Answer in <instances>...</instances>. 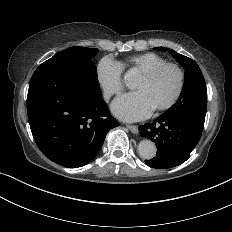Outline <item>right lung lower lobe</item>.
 <instances>
[{"mask_svg":"<svg viewBox=\"0 0 232 232\" xmlns=\"http://www.w3.org/2000/svg\"><path fill=\"white\" fill-rule=\"evenodd\" d=\"M90 63L50 58L30 80L27 110L34 140L48 159L68 168L90 162L119 125L97 78L84 68Z\"/></svg>","mask_w":232,"mask_h":232,"instance_id":"right-lung-lower-lobe-1","label":"right lung lower lobe"}]
</instances>
